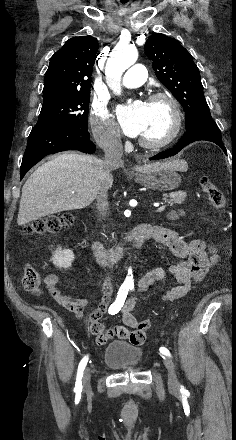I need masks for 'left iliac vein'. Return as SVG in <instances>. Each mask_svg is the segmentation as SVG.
Listing matches in <instances>:
<instances>
[{"label": "left iliac vein", "instance_id": "obj_1", "mask_svg": "<svg viewBox=\"0 0 236 440\" xmlns=\"http://www.w3.org/2000/svg\"><path fill=\"white\" fill-rule=\"evenodd\" d=\"M164 365L168 370V385L172 390L178 389V380L175 372V365L169 357H164Z\"/></svg>", "mask_w": 236, "mask_h": 440}]
</instances>
